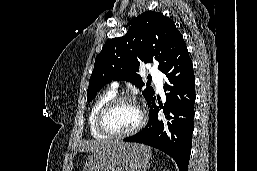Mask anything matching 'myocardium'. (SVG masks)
<instances>
[{"label": "myocardium", "instance_id": "obj_1", "mask_svg": "<svg viewBox=\"0 0 257 171\" xmlns=\"http://www.w3.org/2000/svg\"><path fill=\"white\" fill-rule=\"evenodd\" d=\"M120 103H132L140 111V120L138 124L132 128L131 130L123 133H114L111 132L105 125V117L107 113L116 105ZM147 121V115L146 112L143 110V108L140 106V104L131 96L128 95H117L110 100H108L99 110L96 118V127L97 129L104 135H106L108 138L113 139H123L129 136H132L136 133H138L146 124Z\"/></svg>", "mask_w": 257, "mask_h": 171}]
</instances>
